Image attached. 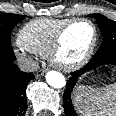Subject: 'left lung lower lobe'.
Masks as SVG:
<instances>
[{
	"label": "left lung lower lobe",
	"mask_w": 116,
	"mask_h": 116,
	"mask_svg": "<svg viewBox=\"0 0 116 116\" xmlns=\"http://www.w3.org/2000/svg\"><path fill=\"white\" fill-rule=\"evenodd\" d=\"M104 65H116V52L106 55H94L82 69L71 73V77L67 80L63 95V107L66 116H78L74 110L71 96L79 77L86 72L95 70Z\"/></svg>",
	"instance_id": "0a47b994"
}]
</instances>
